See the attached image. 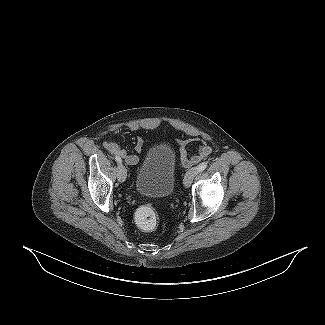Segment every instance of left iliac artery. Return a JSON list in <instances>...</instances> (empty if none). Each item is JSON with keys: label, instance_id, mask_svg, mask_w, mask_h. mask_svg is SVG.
I'll list each match as a JSON object with an SVG mask.
<instances>
[{"label": "left iliac artery", "instance_id": "44dca946", "mask_svg": "<svg viewBox=\"0 0 325 325\" xmlns=\"http://www.w3.org/2000/svg\"><path fill=\"white\" fill-rule=\"evenodd\" d=\"M206 167H207V163H206V162L201 163V164L198 166V173H199V172H202L203 170H205Z\"/></svg>", "mask_w": 325, "mask_h": 325}]
</instances>
